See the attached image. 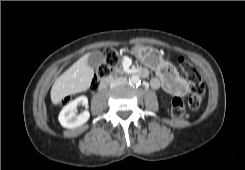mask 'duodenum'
<instances>
[{
  "label": "duodenum",
  "mask_w": 245,
  "mask_h": 170,
  "mask_svg": "<svg viewBox=\"0 0 245 170\" xmlns=\"http://www.w3.org/2000/svg\"><path fill=\"white\" fill-rule=\"evenodd\" d=\"M138 74H139L140 76H145L146 71H145L144 69H141V70L138 71ZM109 82H110L109 79L103 80V81L99 84V87H98L99 90L105 89V88L108 86Z\"/></svg>",
  "instance_id": "duodenum-1"
}]
</instances>
